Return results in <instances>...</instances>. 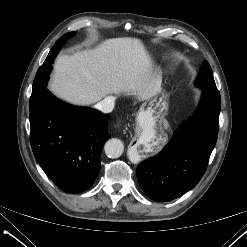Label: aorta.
<instances>
[{"label": "aorta", "instance_id": "762f6f07", "mask_svg": "<svg viewBox=\"0 0 247 247\" xmlns=\"http://www.w3.org/2000/svg\"><path fill=\"white\" fill-rule=\"evenodd\" d=\"M105 154L110 158H118L123 154L124 145L121 140L112 138L104 145Z\"/></svg>", "mask_w": 247, "mask_h": 247}]
</instances>
